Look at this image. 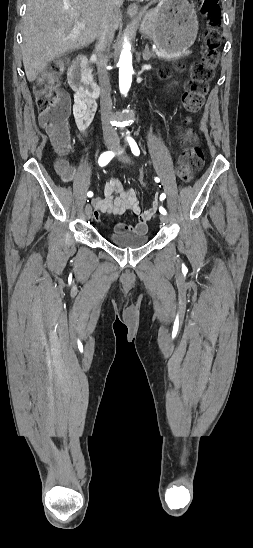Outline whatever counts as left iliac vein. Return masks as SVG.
Masks as SVG:
<instances>
[{"instance_id": "obj_1", "label": "left iliac vein", "mask_w": 253, "mask_h": 548, "mask_svg": "<svg viewBox=\"0 0 253 548\" xmlns=\"http://www.w3.org/2000/svg\"><path fill=\"white\" fill-rule=\"evenodd\" d=\"M117 149H119V147H117ZM118 159L123 163L129 162V158L126 155H121V156L118 157ZM160 220H161V222H163L165 224L169 223V217L167 215L161 214L160 215Z\"/></svg>"}]
</instances>
